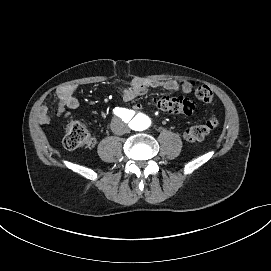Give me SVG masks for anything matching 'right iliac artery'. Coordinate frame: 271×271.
<instances>
[{"instance_id":"1","label":"right iliac artery","mask_w":271,"mask_h":271,"mask_svg":"<svg viewBox=\"0 0 271 271\" xmlns=\"http://www.w3.org/2000/svg\"><path fill=\"white\" fill-rule=\"evenodd\" d=\"M113 111H114V114H116L119 117H124L128 112L127 109L119 108V107H116Z\"/></svg>"}]
</instances>
